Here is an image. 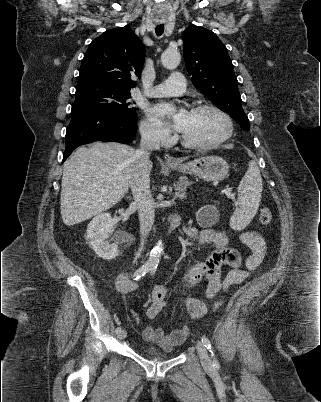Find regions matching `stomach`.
I'll return each mask as SVG.
<instances>
[{"label": "stomach", "instance_id": "stomach-1", "mask_svg": "<svg viewBox=\"0 0 321 402\" xmlns=\"http://www.w3.org/2000/svg\"><path fill=\"white\" fill-rule=\"evenodd\" d=\"M170 168L199 176L206 181L223 180L229 171L228 163L218 156H202L179 166H170Z\"/></svg>", "mask_w": 321, "mask_h": 402}]
</instances>
